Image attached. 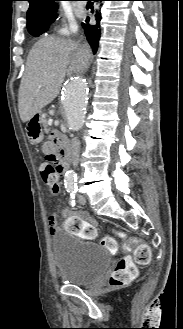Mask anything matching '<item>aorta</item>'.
I'll return each mask as SVG.
<instances>
[{
	"label": "aorta",
	"instance_id": "1",
	"mask_svg": "<svg viewBox=\"0 0 183 329\" xmlns=\"http://www.w3.org/2000/svg\"><path fill=\"white\" fill-rule=\"evenodd\" d=\"M88 95L89 84L85 78L75 77L66 84L62 95V106L70 131H78L82 128L86 117ZM75 184L76 174L67 171L64 178L65 187H74Z\"/></svg>",
	"mask_w": 183,
	"mask_h": 329
}]
</instances>
